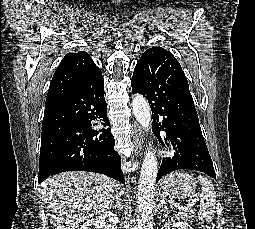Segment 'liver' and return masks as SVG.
<instances>
[{"mask_svg":"<svg viewBox=\"0 0 255 229\" xmlns=\"http://www.w3.org/2000/svg\"><path fill=\"white\" fill-rule=\"evenodd\" d=\"M122 193L115 180L93 172H63L45 180L40 195L56 229H76L94 214L110 209Z\"/></svg>","mask_w":255,"mask_h":229,"instance_id":"liver-1","label":"liver"}]
</instances>
